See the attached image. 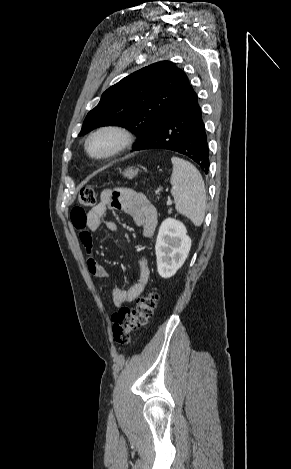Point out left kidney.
<instances>
[{"label": "left kidney", "instance_id": "5707ae66", "mask_svg": "<svg viewBox=\"0 0 291 469\" xmlns=\"http://www.w3.org/2000/svg\"><path fill=\"white\" fill-rule=\"evenodd\" d=\"M190 248L191 239L184 224L173 218L164 220L155 245L159 275L165 279L175 275L184 264Z\"/></svg>", "mask_w": 291, "mask_h": 469}]
</instances>
